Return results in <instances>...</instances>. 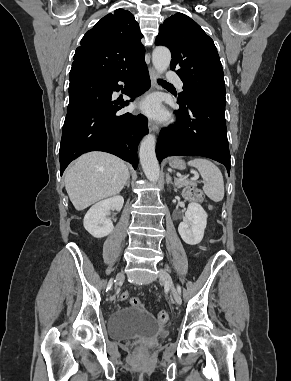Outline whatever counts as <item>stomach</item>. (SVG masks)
Instances as JSON below:
<instances>
[{"mask_svg": "<svg viewBox=\"0 0 291 381\" xmlns=\"http://www.w3.org/2000/svg\"><path fill=\"white\" fill-rule=\"evenodd\" d=\"M171 166L173 168L181 169V170L185 169V167H186L184 161L179 160V159H175V160L171 161Z\"/></svg>", "mask_w": 291, "mask_h": 381, "instance_id": "0dacf381", "label": "stomach"}]
</instances>
